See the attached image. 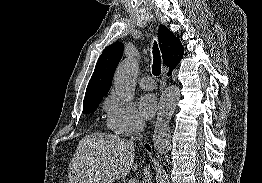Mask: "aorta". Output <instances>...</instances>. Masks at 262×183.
Here are the masks:
<instances>
[{
    "label": "aorta",
    "instance_id": "obj_1",
    "mask_svg": "<svg viewBox=\"0 0 262 183\" xmlns=\"http://www.w3.org/2000/svg\"><path fill=\"white\" fill-rule=\"evenodd\" d=\"M137 68L138 65L135 60H126L118 66L115 72L114 88L123 101L129 102L134 98ZM179 99L180 89L177 86L167 88L160 98L153 134L154 147L160 155H165L170 149L171 132L169 123Z\"/></svg>",
    "mask_w": 262,
    "mask_h": 183
}]
</instances>
